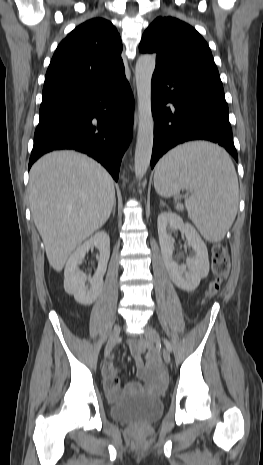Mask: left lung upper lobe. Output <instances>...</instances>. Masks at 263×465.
Masks as SVG:
<instances>
[{"label":"left lung upper lobe","instance_id":"5c2ea615","mask_svg":"<svg viewBox=\"0 0 263 465\" xmlns=\"http://www.w3.org/2000/svg\"><path fill=\"white\" fill-rule=\"evenodd\" d=\"M139 50L157 53V68L201 75L222 85L208 44L193 27L179 19L156 18L144 32Z\"/></svg>","mask_w":263,"mask_h":465}]
</instances>
